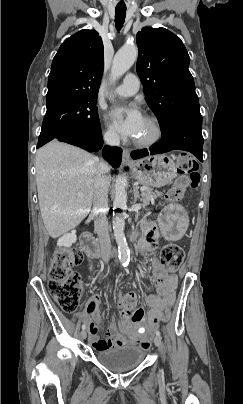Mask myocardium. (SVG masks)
<instances>
[{"label": "myocardium", "instance_id": "1", "mask_svg": "<svg viewBox=\"0 0 243 404\" xmlns=\"http://www.w3.org/2000/svg\"><path fill=\"white\" fill-rule=\"evenodd\" d=\"M128 43H130V40H128ZM145 118L152 124L153 134L146 140H135L134 144L139 148H150L155 146L161 141L164 135L163 124L157 116L148 114Z\"/></svg>", "mask_w": 243, "mask_h": 404}]
</instances>
